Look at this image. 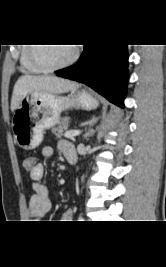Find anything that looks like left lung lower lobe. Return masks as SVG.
<instances>
[{
	"mask_svg": "<svg viewBox=\"0 0 166 267\" xmlns=\"http://www.w3.org/2000/svg\"><path fill=\"white\" fill-rule=\"evenodd\" d=\"M81 61L56 75L84 83L112 103L124 107L128 82L127 45H85Z\"/></svg>",
	"mask_w": 166,
	"mask_h": 267,
	"instance_id": "0a47b994",
	"label": "left lung lower lobe"
}]
</instances>
